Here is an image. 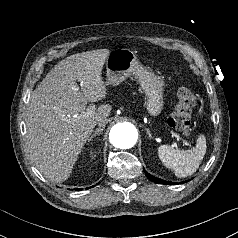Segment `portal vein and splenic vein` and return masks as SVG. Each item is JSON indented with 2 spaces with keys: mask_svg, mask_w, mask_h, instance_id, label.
I'll return each instance as SVG.
<instances>
[{
  "mask_svg": "<svg viewBox=\"0 0 238 238\" xmlns=\"http://www.w3.org/2000/svg\"><path fill=\"white\" fill-rule=\"evenodd\" d=\"M95 110H96L95 106H94V105H90V106L87 108V110H86V114H87V115H92L93 113H95ZM69 117L76 118L77 115H73V116H69ZM176 137H177V140H179V137H178V136H176ZM183 143H184V145H186V146L189 145V143H188L187 141H185V140H183ZM172 146H173V147H177V144H176V143H173Z\"/></svg>",
  "mask_w": 238,
  "mask_h": 238,
  "instance_id": "1",
  "label": "portal vein and splenic vein"
}]
</instances>
